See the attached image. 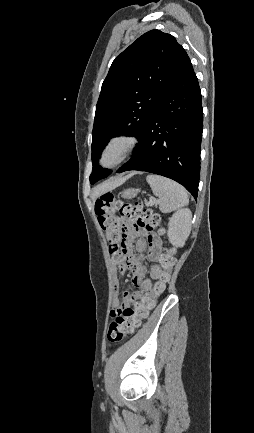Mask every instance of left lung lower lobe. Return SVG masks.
<instances>
[{"instance_id": "left-lung-lower-lobe-1", "label": "left lung lower lobe", "mask_w": 254, "mask_h": 433, "mask_svg": "<svg viewBox=\"0 0 254 433\" xmlns=\"http://www.w3.org/2000/svg\"><path fill=\"white\" fill-rule=\"evenodd\" d=\"M201 92L187 56L149 119L132 158L117 170L171 178L197 198L203 131Z\"/></svg>"}]
</instances>
